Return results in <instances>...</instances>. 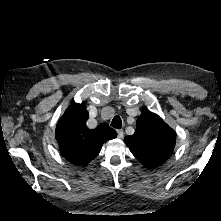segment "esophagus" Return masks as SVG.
Segmentation results:
<instances>
[{"label": "esophagus", "instance_id": "obj_1", "mask_svg": "<svg viewBox=\"0 0 221 221\" xmlns=\"http://www.w3.org/2000/svg\"><path fill=\"white\" fill-rule=\"evenodd\" d=\"M117 136L118 138L122 139L124 137V132L122 129H118L117 130Z\"/></svg>", "mask_w": 221, "mask_h": 221}]
</instances>
